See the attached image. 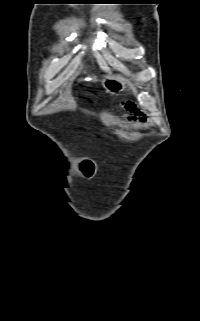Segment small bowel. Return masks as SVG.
Returning <instances> with one entry per match:
<instances>
[{
  "label": "small bowel",
  "mask_w": 200,
  "mask_h": 321,
  "mask_svg": "<svg viewBox=\"0 0 200 321\" xmlns=\"http://www.w3.org/2000/svg\"><path fill=\"white\" fill-rule=\"evenodd\" d=\"M125 109L131 113L129 116V119L131 121H139V122H145L146 118L142 116V114L136 109L135 105L132 103H126Z\"/></svg>",
  "instance_id": "c3829d8e"
}]
</instances>
